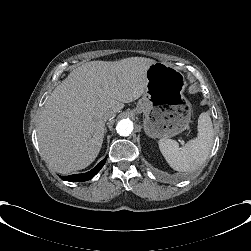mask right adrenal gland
Returning <instances> with one entry per match:
<instances>
[{"label": "right adrenal gland", "instance_id": "1", "mask_svg": "<svg viewBox=\"0 0 251 251\" xmlns=\"http://www.w3.org/2000/svg\"><path fill=\"white\" fill-rule=\"evenodd\" d=\"M104 133H105V134L107 133V128H106V127L104 128Z\"/></svg>", "mask_w": 251, "mask_h": 251}]
</instances>
